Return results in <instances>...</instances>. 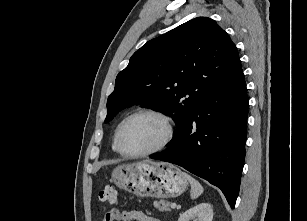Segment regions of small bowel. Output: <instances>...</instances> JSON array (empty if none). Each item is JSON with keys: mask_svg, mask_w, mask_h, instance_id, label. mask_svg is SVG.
<instances>
[{"mask_svg": "<svg viewBox=\"0 0 307 221\" xmlns=\"http://www.w3.org/2000/svg\"><path fill=\"white\" fill-rule=\"evenodd\" d=\"M101 221H160L159 219L147 215L139 210L112 209L105 214Z\"/></svg>", "mask_w": 307, "mask_h": 221, "instance_id": "1", "label": "small bowel"}]
</instances>
